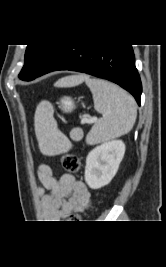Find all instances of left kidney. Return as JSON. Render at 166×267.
Instances as JSON below:
<instances>
[{
  "instance_id": "left-kidney-1",
  "label": "left kidney",
  "mask_w": 166,
  "mask_h": 267,
  "mask_svg": "<svg viewBox=\"0 0 166 267\" xmlns=\"http://www.w3.org/2000/svg\"><path fill=\"white\" fill-rule=\"evenodd\" d=\"M125 153L122 140L105 142L91 150L86 158L85 181L92 189H99L116 175Z\"/></svg>"
}]
</instances>
